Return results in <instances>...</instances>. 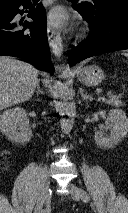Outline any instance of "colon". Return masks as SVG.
I'll list each match as a JSON object with an SVG mask.
<instances>
[{"mask_svg":"<svg viewBox=\"0 0 128 213\" xmlns=\"http://www.w3.org/2000/svg\"><path fill=\"white\" fill-rule=\"evenodd\" d=\"M1 156H2L3 158H7V157L9 156V153H8L7 151H3V152L1 153Z\"/></svg>","mask_w":128,"mask_h":213,"instance_id":"5ec220e1","label":"colon"}]
</instances>
